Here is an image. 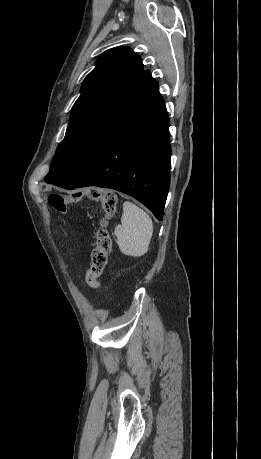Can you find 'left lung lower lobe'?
<instances>
[{
	"label": "left lung lower lobe",
	"mask_w": 261,
	"mask_h": 459,
	"mask_svg": "<svg viewBox=\"0 0 261 459\" xmlns=\"http://www.w3.org/2000/svg\"><path fill=\"white\" fill-rule=\"evenodd\" d=\"M169 121L159 88L85 165L59 187L98 186L128 194L162 220L170 185Z\"/></svg>",
	"instance_id": "0a47b994"
}]
</instances>
